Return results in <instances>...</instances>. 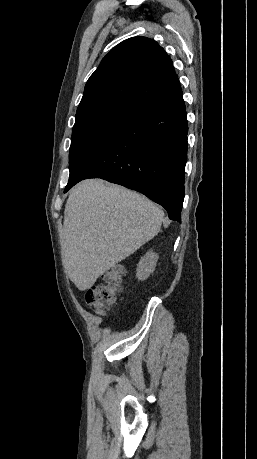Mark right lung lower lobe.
Returning <instances> with one entry per match:
<instances>
[{
	"label": "right lung lower lobe",
	"mask_w": 257,
	"mask_h": 459,
	"mask_svg": "<svg viewBox=\"0 0 257 459\" xmlns=\"http://www.w3.org/2000/svg\"><path fill=\"white\" fill-rule=\"evenodd\" d=\"M188 124L178 83L139 108L110 142L72 177L64 192L87 178L139 191L181 222Z\"/></svg>",
	"instance_id": "obj_1"
}]
</instances>
